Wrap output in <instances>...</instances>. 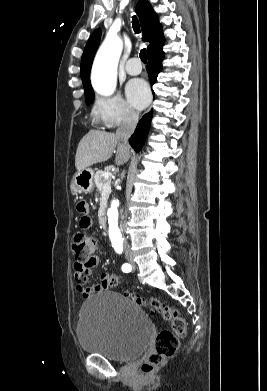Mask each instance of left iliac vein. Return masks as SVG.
I'll list each match as a JSON object with an SVG mask.
<instances>
[{
    "label": "left iliac vein",
    "instance_id": "left-iliac-vein-1",
    "mask_svg": "<svg viewBox=\"0 0 267 391\" xmlns=\"http://www.w3.org/2000/svg\"><path fill=\"white\" fill-rule=\"evenodd\" d=\"M130 263L132 265L133 270H135L136 266L135 263L133 262L132 258L130 257Z\"/></svg>",
    "mask_w": 267,
    "mask_h": 391
}]
</instances>
